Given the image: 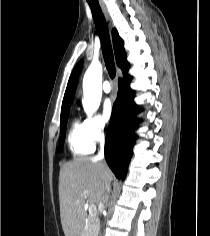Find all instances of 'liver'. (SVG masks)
<instances>
[{
  "label": "liver",
  "mask_w": 210,
  "mask_h": 236,
  "mask_svg": "<svg viewBox=\"0 0 210 236\" xmlns=\"http://www.w3.org/2000/svg\"><path fill=\"white\" fill-rule=\"evenodd\" d=\"M105 162L78 157L65 163L59 175L60 218L65 236H81L85 225V204L104 199L105 183L113 180Z\"/></svg>",
  "instance_id": "obj_1"
}]
</instances>
